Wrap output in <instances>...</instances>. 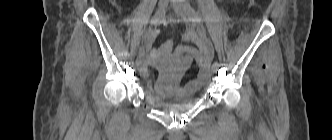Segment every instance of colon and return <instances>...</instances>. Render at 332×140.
I'll list each match as a JSON object with an SVG mask.
<instances>
[{
	"label": "colon",
	"mask_w": 332,
	"mask_h": 140,
	"mask_svg": "<svg viewBox=\"0 0 332 140\" xmlns=\"http://www.w3.org/2000/svg\"><path fill=\"white\" fill-rule=\"evenodd\" d=\"M173 47H174V43H173L172 40L166 41L162 45V47L159 49V55H160V57H164L167 54H169L173 50Z\"/></svg>",
	"instance_id": "5ec220e1"
}]
</instances>
